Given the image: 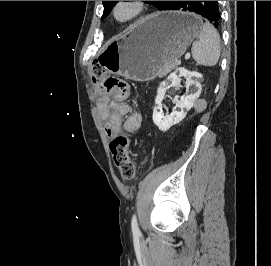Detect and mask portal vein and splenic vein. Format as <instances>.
I'll return each instance as SVG.
<instances>
[{
	"mask_svg": "<svg viewBox=\"0 0 271 266\" xmlns=\"http://www.w3.org/2000/svg\"><path fill=\"white\" fill-rule=\"evenodd\" d=\"M184 58H185L186 60H188V59L190 58V53H186L185 56H184ZM177 63L180 64V62H177Z\"/></svg>",
	"mask_w": 271,
	"mask_h": 266,
	"instance_id": "obj_1",
	"label": "portal vein and splenic vein"
}]
</instances>
